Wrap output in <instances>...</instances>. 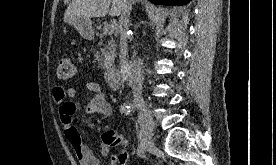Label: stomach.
Listing matches in <instances>:
<instances>
[{
    "label": "stomach",
    "mask_w": 276,
    "mask_h": 165,
    "mask_svg": "<svg viewBox=\"0 0 276 165\" xmlns=\"http://www.w3.org/2000/svg\"><path fill=\"white\" fill-rule=\"evenodd\" d=\"M67 22L69 25L76 28L83 38L87 40H91L93 38L94 30H93L92 21L90 18H85V17L69 18Z\"/></svg>",
    "instance_id": "obj_1"
}]
</instances>
